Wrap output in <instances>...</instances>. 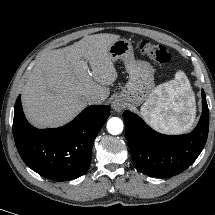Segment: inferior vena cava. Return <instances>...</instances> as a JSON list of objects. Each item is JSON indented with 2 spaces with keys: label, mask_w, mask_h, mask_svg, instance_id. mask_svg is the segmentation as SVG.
Returning a JSON list of instances; mask_svg holds the SVG:
<instances>
[{
  "label": "inferior vena cava",
  "mask_w": 215,
  "mask_h": 215,
  "mask_svg": "<svg viewBox=\"0 0 215 215\" xmlns=\"http://www.w3.org/2000/svg\"><path fill=\"white\" fill-rule=\"evenodd\" d=\"M103 98L99 95H90L88 97V103L89 104H102Z\"/></svg>",
  "instance_id": "602c4592"
}]
</instances>
